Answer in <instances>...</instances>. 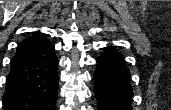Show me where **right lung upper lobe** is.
<instances>
[{
    "label": "right lung upper lobe",
    "instance_id": "1",
    "mask_svg": "<svg viewBox=\"0 0 171 110\" xmlns=\"http://www.w3.org/2000/svg\"><path fill=\"white\" fill-rule=\"evenodd\" d=\"M41 35H42V33L35 32V33H34L31 37H29L27 40H25V41L19 43L18 46H21V45H23V44H25V43H28V42H30V41L36 39L37 37H39V36H41Z\"/></svg>",
    "mask_w": 171,
    "mask_h": 110
}]
</instances>
